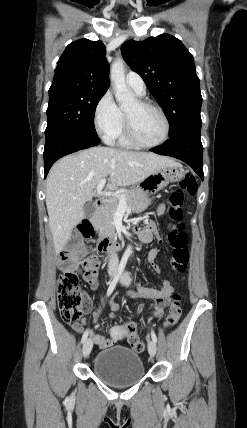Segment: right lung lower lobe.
<instances>
[{
	"label": "right lung lower lobe",
	"mask_w": 247,
	"mask_h": 428,
	"mask_svg": "<svg viewBox=\"0 0 247 428\" xmlns=\"http://www.w3.org/2000/svg\"><path fill=\"white\" fill-rule=\"evenodd\" d=\"M97 136H87L75 132H57L46 136L44 149V171L47 176L51 166L59 158L70 153L99 144Z\"/></svg>",
	"instance_id": "98d812e1"
}]
</instances>
